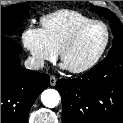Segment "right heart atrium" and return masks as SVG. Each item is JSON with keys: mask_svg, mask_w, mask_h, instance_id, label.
<instances>
[{"mask_svg": "<svg viewBox=\"0 0 123 123\" xmlns=\"http://www.w3.org/2000/svg\"><path fill=\"white\" fill-rule=\"evenodd\" d=\"M21 41L37 66H43L45 62L52 61L57 56V52L49 45L41 28L27 26L22 32Z\"/></svg>", "mask_w": 123, "mask_h": 123, "instance_id": "1", "label": "right heart atrium"}]
</instances>
